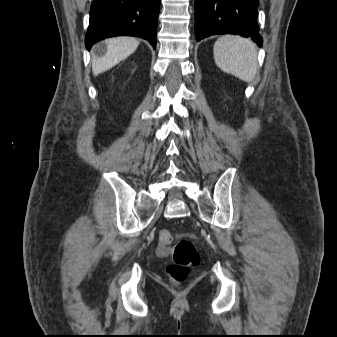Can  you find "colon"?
I'll list each match as a JSON object with an SVG mask.
<instances>
[{"label":"colon","mask_w":337,"mask_h":337,"mask_svg":"<svg viewBox=\"0 0 337 337\" xmlns=\"http://www.w3.org/2000/svg\"><path fill=\"white\" fill-rule=\"evenodd\" d=\"M172 240L173 236L169 230H160L157 249L162 254L171 251L174 263L168 267V273L174 281L181 282L188 276V267L199 262V254L190 240H180L170 247Z\"/></svg>","instance_id":"1"}]
</instances>
